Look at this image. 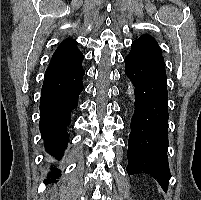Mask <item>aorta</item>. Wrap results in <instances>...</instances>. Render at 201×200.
Listing matches in <instances>:
<instances>
[{"label":"aorta","instance_id":"obj_1","mask_svg":"<svg viewBox=\"0 0 201 200\" xmlns=\"http://www.w3.org/2000/svg\"><path fill=\"white\" fill-rule=\"evenodd\" d=\"M128 89H129V93H131V85H128Z\"/></svg>","mask_w":201,"mask_h":200}]
</instances>
